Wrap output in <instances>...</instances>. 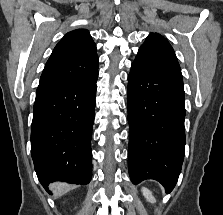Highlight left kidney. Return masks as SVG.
<instances>
[{
  "instance_id": "1",
  "label": "left kidney",
  "mask_w": 223,
  "mask_h": 215,
  "mask_svg": "<svg viewBox=\"0 0 223 215\" xmlns=\"http://www.w3.org/2000/svg\"><path fill=\"white\" fill-rule=\"evenodd\" d=\"M143 195H145L147 201H151V203H154L155 197L152 195V191L150 189H147V187H142Z\"/></svg>"
}]
</instances>
